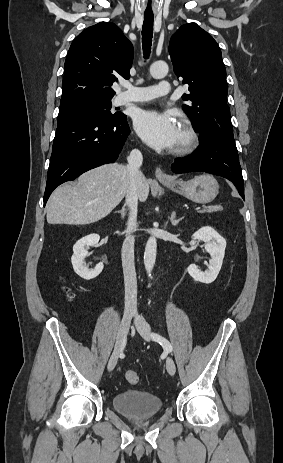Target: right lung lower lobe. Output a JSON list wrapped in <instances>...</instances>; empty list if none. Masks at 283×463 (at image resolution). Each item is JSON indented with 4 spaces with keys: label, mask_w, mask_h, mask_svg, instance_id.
I'll return each mask as SVG.
<instances>
[{
    "label": "right lung lower lobe",
    "mask_w": 283,
    "mask_h": 463,
    "mask_svg": "<svg viewBox=\"0 0 283 463\" xmlns=\"http://www.w3.org/2000/svg\"><path fill=\"white\" fill-rule=\"evenodd\" d=\"M130 133L127 116L75 117L57 125L47 175L44 206L60 184L74 180L87 170L113 163Z\"/></svg>",
    "instance_id": "98d812e1"
}]
</instances>
